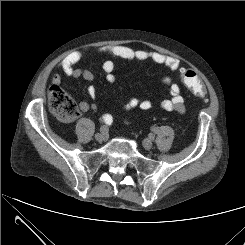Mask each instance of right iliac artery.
I'll list each match as a JSON object with an SVG mask.
<instances>
[{
	"instance_id": "1",
	"label": "right iliac artery",
	"mask_w": 245,
	"mask_h": 245,
	"mask_svg": "<svg viewBox=\"0 0 245 245\" xmlns=\"http://www.w3.org/2000/svg\"><path fill=\"white\" fill-rule=\"evenodd\" d=\"M107 121L105 122L106 124H111L112 123V116H109L108 119H106ZM108 127L106 125H103L101 128H100V132L103 133V134H106L108 132Z\"/></svg>"
}]
</instances>
